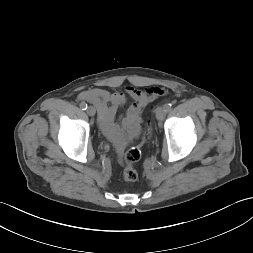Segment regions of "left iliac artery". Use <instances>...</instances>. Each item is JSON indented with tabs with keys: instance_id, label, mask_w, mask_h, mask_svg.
<instances>
[{
	"instance_id": "44dca946",
	"label": "left iliac artery",
	"mask_w": 253,
	"mask_h": 253,
	"mask_svg": "<svg viewBox=\"0 0 253 253\" xmlns=\"http://www.w3.org/2000/svg\"><path fill=\"white\" fill-rule=\"evenodd\" d=\"M171 107H172L171 103L165 104V109L167 112L171 110Z\"/></svg>"
}]
</instances>
